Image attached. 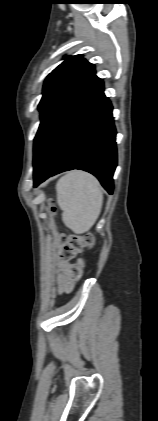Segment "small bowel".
<instances>
[{"instance_id":"1","label":"small bowel","mask_w":158,"mask_h":421,"mask_svg":"<svg viewBox=\"0 0 158 421\" xmlns=\"http://www.w3.org/2000/svg\"><path fill=\"white\" fill-rule=\"evenodd\" d=\"M59 270V283L63 287L66 283L69 265L66 262H60L58 265Z\"/></svg>"}]
</instances>
